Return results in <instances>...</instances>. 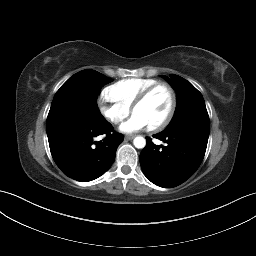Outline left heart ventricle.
<instances>
[{
	"mask_svg": "<svg viewBox=\"0 0 256 256\" xmlns=\"http://www.w3.org/2000/svg\"><path fill=\"white\" fill-rule=\"evenodd\" d=\"M171 97L164 87L156 89L149 98L133 110V113L141 115L149 126L160 122L168 113Z\"/></svg>",
	"mask_w": 256,
	"mask_h": 256,
	"instance_id": "1",
	"label": "left heart ventricle"
}]
</instances>
